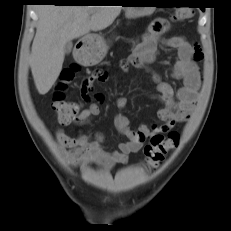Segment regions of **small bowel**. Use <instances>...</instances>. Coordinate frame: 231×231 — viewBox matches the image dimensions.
Wrapping results in <instances>:
<instances>
[{
	"instance_id": "obj_1",
	"label": "small bowel",
	"mask_w": 231,
	"mask_h": 231,
	"mask_svg": "<svg viewBox=\"0 0 231 231\" xmlns=\"http://www.w3.org/2000/svg\"><path fill=\"white\" fill-rule=\"evenodd\" d=\"M169 29V23L159 18L154 20L148 27L147 32L142 35L133 46L132 54L121 63L126 69L129 65L145 67L152 63L158 54V43L162 35ZM167 46L177 49L178 60L174 66L173 77L183 80V85L174 90L173 87L160 80L154 75L157 83L158 95L155 96L162 107L158 111V117L162 125H141L133 130L130 121L123 113L127 106L126 97L120 96L116 99L115 105L118 110L114 123L117 130L127 140L118 144L117 150L107 151L102 144V137L97 135L94 139L88 134L79 133L75 137L67 135L62 129L56 131V146L58 153L64 163L73 168H87L97 165L105 170L112 169L117 164H125L131 153L138 152L146 139L155 134L168 132L177 123L188 120L195 109L197 93L200 87V69L198 63L202 60L203 54L200 47L191 44L183 36H175L164 42ZM106 73L97 71L89 75L83 82L81 92L85 101L91 100L93 82L95 80L105 81ZM96 98L100 101L101 96ZM100 109L97 103H91L88 108L80 111L77 117L70 123L78 126L85 125L92 117L99 115ZM69 123V124H70Z\"/></svg>"
}]
</instances>
